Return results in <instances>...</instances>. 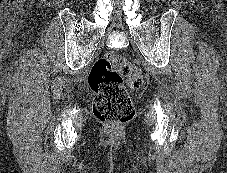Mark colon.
<instances>
[{
	"mask_svg": "<svg viewBox=\"0 0 227 173\" xmlns=\"http://www.w3.org/2000/svg\"><path fill=\"white\" fill-rule=\"evenodd\" d=\"M88 80L96 94L93 113L99 121L121 125L133 118L134 106L127 88L138 89L143 82L136 65L122 55L108 53L93 64Z\"/></svg>",
	"mask_w": 227,
	"mask_h": 173,
	"instance_id": "5ec220e1",
	"label": "colon"
}]
</instances>
